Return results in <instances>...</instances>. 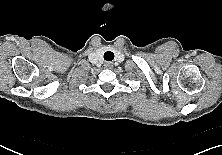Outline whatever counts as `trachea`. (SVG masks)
<instances>
[{
    "instance_id": "obj_1",
    "label": "trachea",
    "mask_w": 222,
    "mask_h": 155,
    "mask_svg": "<svg viewBox=\"0 0 222 155\" xmlns=\"http://www.w3.org/2000/svg\"><path fill=\"white\" fill-rule=\"evenodd\" d=\"M104 59L106 61H112L114 59V53L111 51H107L104 53Z\"/></svg>"
}]
</instances>
